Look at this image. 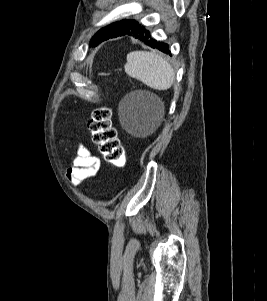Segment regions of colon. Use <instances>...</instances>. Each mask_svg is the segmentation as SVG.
<instances>
[{
	"instance_id": "colon-1",
	"label": "colon",
	"mask_w": 267,
	"mask_h": 301,
	"mask_svg": "<svg viewBox=\"0 0 267 301\" xmlns=\"http://www.w3.org/2000/svg\"><path fill=\"white\" fill-rule=\"evenodd\" d=\"M87 126L104 159L116 167H124L126 154L112 125L110 110L106 107L94 109Z\"/></svg>"
}]
</instances>
